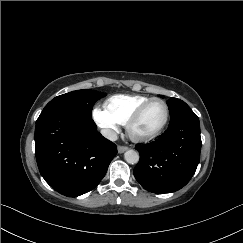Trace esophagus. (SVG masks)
Returning a JSON list of instances; mask_svg holds the SVG:
<instances>
[{"label": "esophagus", "instance_id": "obj_1", "mask_svg": "<svg viewBox=\"0 0 243 243\" xmlns=\"http://www.w3.org/2000/svg\"><path fill=\"white\" fill-rule=\"evenodd\" d=\"M126 150H128V147H127V146H118V147H117V151H118V153H123V152H125Z\"/></svg>", "mask_w": 243, "mask_h": 243}]
</instances>
